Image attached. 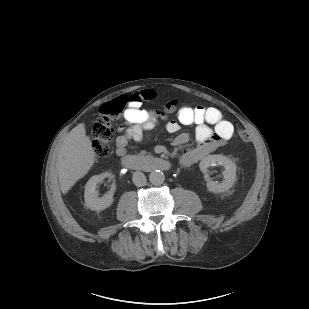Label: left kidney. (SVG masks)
Here are the masks:
<instances>
[{"label":"left kidney","mask_w":309,"mask_h":309,"mask_svg":"<svg viewBox=\"0 0 309 309\" xmlns=\"http://www.w3.org/2000/svg\"><path fill=\"white\" fill-rule=\"evenodd\" d=\"M224 166L223 172L224 180L221 183L211 181L208 178V167L215 164ZM200 170L205 174L207 180V189L213 193H221L229 190L236 180V165L227 157L223 155H209L203 158L199 164Z\"/></svg>","instance_id":"5707ae66"}]
</instances>
